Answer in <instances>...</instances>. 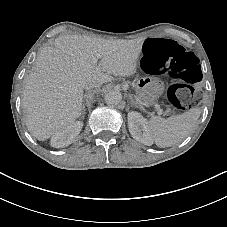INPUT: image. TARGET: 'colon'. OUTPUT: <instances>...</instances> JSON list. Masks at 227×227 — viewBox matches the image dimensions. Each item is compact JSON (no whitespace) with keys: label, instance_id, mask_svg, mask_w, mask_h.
<instances>
[{"label":"colon","instance_id":"obj_1","mask_svg":"<svg viewBox=\"0 0 227 227\" xmlns=\"http://www.w3.org/2000/svg\"><path fill=\"white\" fill-rule=\"evenodd\" d=\"M142 61L147 73L173 81L167 90L173 107L187 109L200 101L201 91L194 85L202 79V70L193 51L174 40L150 38L143 45Z\"/></svg>","mask_w":227,"mask_h":227}]
</instances>
